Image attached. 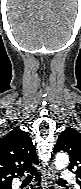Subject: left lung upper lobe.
I'll return each instance as SVG.
<instances>
[{"label": "left lung upper lobe", "mask_w": 81, "mask_h": 189, "mask_svg": "<svg viewBox=\"0 0 81 189\" xmlns=\"http://www.w3.org/2000/svg\"><path fill=\"white\" fill-rule=\"evenodd\" d=\"M53 151L69 154V170H75L74 173L79 177L77 182L81 185V133L71 127L66 128L60 133Z\"/></svg>", "instance_id": "5c2ea615"}]
</instances>
